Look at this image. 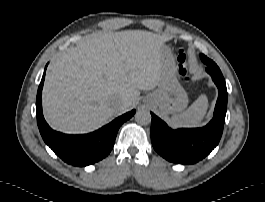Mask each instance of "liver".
I'll use <instances>...</instances> for the list:
<instances>
[{
    "instance_id": "obj_1",
    "label": "liver",
    "mask_w": 265,
    "mask_h": 202,
    "mask_svg": "<svg viewBox=\"0 0 265 202\" xmlns=\"http://www.w3.org/2000/svg\"><path fill=\"white\" fill-rule=\"evenodd\" d=\"M168 38L144 30L84 37L56 62L43 89V112L57 131L84 134L128 108L163 76L160 49ZM120 98L119 104H114Z\"/></svg>"
}]
</instances>
